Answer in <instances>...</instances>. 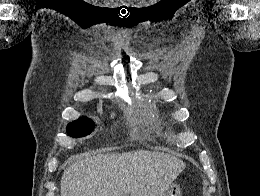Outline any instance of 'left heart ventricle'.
Listing matches in <instances>:
<instances>
[{"instance_id":"obj_1","label":"left heart ventricle","mask_w":260,"mask_h":196,"mask_svg":"<svg viewBox=\"0 0 260 196\" xmlns=\"http://www.w3.org/2000/svg\"><path fill=\"white\" fill-rule=\"evenodd\" d=\"M115 190H88V192H114Z\"/></svg>"}]
</instances>
